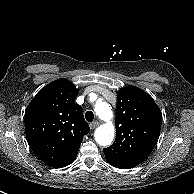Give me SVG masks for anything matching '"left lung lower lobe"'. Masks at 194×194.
<instances>
[{"label": "left lung lower lobe", "instance_id": "0a47b994", "mask_svg": "<svg viewBox=\"0 0 194 194\" xmlns=\"http://www.w3.org/2000/svg\"><path fill=\"white\" fill-rule=\"evenodd\" d=\"M108 163H109L110 165H112L113 167H116V168H120V169H129V168H127V167L120 166V165L115 164V163L110 162V161H108Z\"/></svg>", "mask_w": 194, "mask_h": 194}]
</instances>
